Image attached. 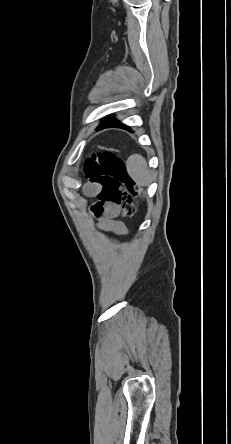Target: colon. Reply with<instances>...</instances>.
I'll return each mask as SVG.
<instances>
[{
    "mask_svg": "<svg viewBox=\"0 0 231 444\" xmlns=\"http://www.w3.org/2000/svg\"><path fill=\"white\" fill-rule=\"evenodd\" d=\"M84 172L92 184L104 186L100 201L93 207L95 214L102 213L104 203L118 205L129 217L135 214V198L143 191L129 176L117 151L102 149L93 153L84 163Z\"/></svg>",
    "mask_w": 231,
    "mask_h": 444,
    "instance_id": "colon-1",
    "label": "colon"
}]
</instances>
